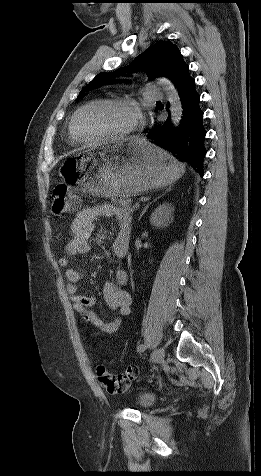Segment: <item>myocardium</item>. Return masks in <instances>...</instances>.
Masks as SVG:
<instances>
[{"instance_id":"f54148a6","label":"myocardium","mask_w":261,"mask_h":476,"mask_svg":"<svg viewBox=\"0 0 261 476\" xmlns=\"http://www.w3.org/2000/svg\"><path fill=\"white\" fill-rule=\"evenodd\" d=\"M97 104H114V105H120V106H123V107H126V108L130 109L131 111H133V113L135 115L134 124L131 127H129L128 129H126L124 131H121V132H118V133L103 135V136H100V137H97V138H85V137H83L80 134V132L78 131V127H77L78 118H79L80 114L85 109H87V108H89L93 105H97ZM140 122H141V114L139 112V109H138L137 105H135L134 103H132L128 100H125V99H121V98H109V97L96 98V99H93V100H90V101L84 103L83 105H81L74 112V114L72 116V119H71V122H70V130H71V133H72L74 139L77 141V143L96 144V143H101V142L108 141V140H123V139L131 136L135 132V130L139 127Z\"/></svg>"}]
</instances>
